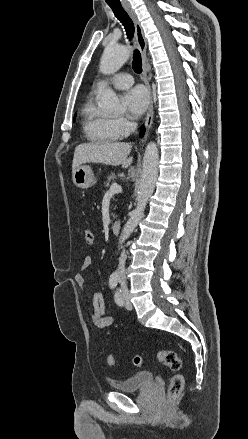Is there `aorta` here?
<instances>
[{
  "mask_svg": "<svg viewBox=\"0 0 248 439\" xmlns=\"http://www.w3.org/2000/svg\"><path fill=\"white\" fill-rule=\"evenodd\" d=\"M130 57V50L126 46L108 45L100 60V71L105 74H113L118 71ZM99 107L106 113H118L122 110L120 101L115 92L111 89L104 88L99 94ZM159 154L157 145L154 142L148 143L144 158L143 171L140 180V189L137 197V206L131 212L130 218L124 225L119 237V246L129 238L137 227L138 223L144 216V211L153 194L158 177Z\"/></svg>",
  "mask_w": 248,
  "mask_h": 439,
  "instance_id": "obj_1",
  "label": "aorta"
}]
</instances>
